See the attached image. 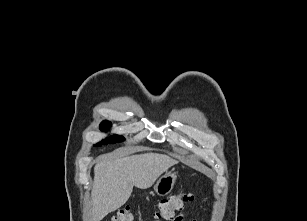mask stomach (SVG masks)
<instances>
[{"label": "stomach", "mask_w": 307, "mask_h": 221, "mask_svg": "<svg viewBox=\"0 0 307 221\" xmlns=\"http://www.w3.org/2000/svg\"><path fill=\"white\" fill-rule=\"evenodd\" d=\"M177 175L170 171L162 174L154 185V192L159 196H165L171 192L175 184Z\"/></svg>", "instance_id": "1"}]
</instances>
